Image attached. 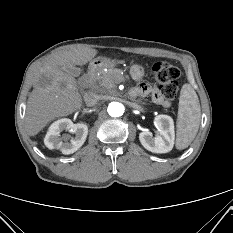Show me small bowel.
Segmentation results:
<instances>
[{
	"instance_id": "c3829d8e",
	"label": "small bowel",
	"mask_w": 233,
	"mask_h": 233,
	"mask_svg": "<svg viewBox=\"0 0 233 233\" xmlns=\"http://www.w3.org/2000/svg\"><path fill=\"white\" fill-rule=\"evenodd\" d=\"M131 75L133 77V79L135 80H141L143 75H144V71L143 68L139 65H134L131 68ZM151 94L153 101L164 107L167 108L170 106V102L167 101L161 92V89L158 86H150L146 83H140L133 91H132V95L133 96H145Z\"/></svg>"
}]
</instances>
